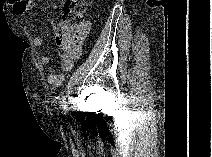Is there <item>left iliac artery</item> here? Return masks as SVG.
<instances>
[{
    "label": "left iliac artery",
    "mask_w": 212,
    "mask_h": 157,
    "mask_svg": "<svg viewBox=\"0 0 212 157\" xmlns=\"http://www.w3.org/2000/svg\"><path fill=\"white\" fill-rule=\"evenodd\" d=\"M62 106L64 109L67 107V102H66L65 98L62 101Z\"/></svg>",
    "instance_id": "1"
}]
</instances>
